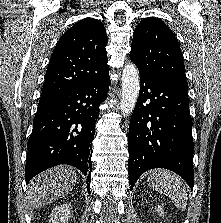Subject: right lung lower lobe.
<instances>
[{"label": "right lung lower lobe", "mask_w": 221, "mask_h": 223, "mask_svg": "<svg viewBox=\"0 0 221 223\" xmlns=\"http://www.w3.org/2000/svg\"><path fill=\"white\" fill-rule=\"evenodd\" d=\"M109 85L108 70L69 92L39 102L27 145L26 183L60 164L78 168L90 182L91 141L99 105L106 99Z\"/></svg>", "instance_id": "obj_1"}]
</instances>
